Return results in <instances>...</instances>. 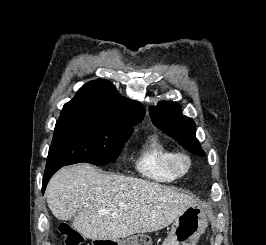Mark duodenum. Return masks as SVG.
Here are the masks:
<instances>
[{
  "label": "duodenum",
  "instance_id": "obj_1",
  "mask_svg": "<svg viewBox=\"0 0 266 245\" xmlns=\"http://www.w3.org/2000/svg\"><path fill=\"white\" fill-rule=\"evenodd\" d=\"M116 242V237H94L93 245H112Z\"/></svg>",
  "mask_w": 266,
  "mask_h": 245
}]
</instances>
